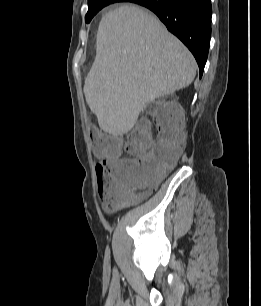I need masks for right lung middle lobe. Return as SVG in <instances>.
<instances>
[{"instance_id": "1", "label": "right lung middle lobe", "mask_w": 261, "mask_h": 306, "mask_svg": "<svg viewBox=\"0 0 261 306\" xmlns=\"http://www.w3.org/2000/svg\"><path fill=\"white\" fill-rule=\"evenodd\" d=\"M120 1H91L88 2V12L85 16V22L89 23L91 19L105 6Z\"/></svg>"}]
</instances>
